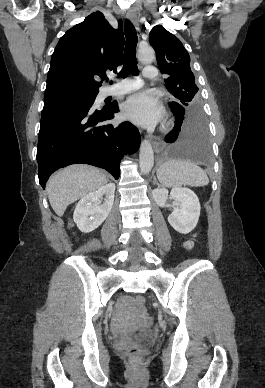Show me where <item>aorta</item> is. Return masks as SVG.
Masks as SVG:
<instances>
[{"label": "aorta", "instance_id": "1", "mask_svg": "<svg viewBox=\"0 0 265 388\" xmlns=\"http://www.w3.org/2000/svg\"><path fill=\"white\" fill-rule=\"evenodd\" d=\"M139 59L144 63H150L155 58V53L152 48H144L139 51ZM154 165V153L152 146L148 140H143L140 146L139 166L143 174H148Z\"/></svg>", "mask_w": 265, "mask_h": 388}]
</instances>
